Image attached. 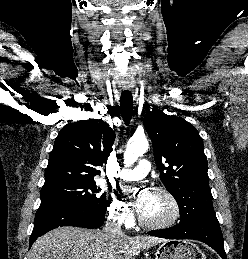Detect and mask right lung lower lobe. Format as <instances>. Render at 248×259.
Here are the masks:
<instances>
[{
    "label": "right lung lower lobe",
    "mask_w": 248,
    "mask_h": 259,
    "mask_svg": "<svg viewBox=\"0 0 248 259\" xmlns=\"http://www.w3.org/2000/svg\"><path fill=\"white\" fill-rule=\"evenodd\" d=\"M104 214H93L83 208L64 204H41L36 212L30 246L43 234L60 226L99 228L103 225Z\"/></svg>",
    "instance_id": "obj_1"
}]
</instances>
